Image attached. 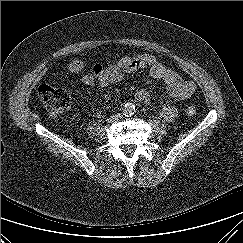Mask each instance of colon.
Instances as JSON below:
<instances>
[{
	"label": "colon",
	"mask_w": 243,
	"mask_h": 243,
	"mask_svg": "<svg viewBox=\"0 0 243 243\" xmlns=\"http://www.w3.org/2000/svg\"><path fill=\"white\" fill-rule=\"evenodd\" d=\"M84 68L85 64L81 60H73L67 65L70 72H80ZM39 97L48 114L54 119H61L70 108V96L63 89L44 84L39 87ZM196 111L194 104H189L185 108L188 115H194Z\"/></svg>",
	"instance_id": "1"
}]
</instances>
